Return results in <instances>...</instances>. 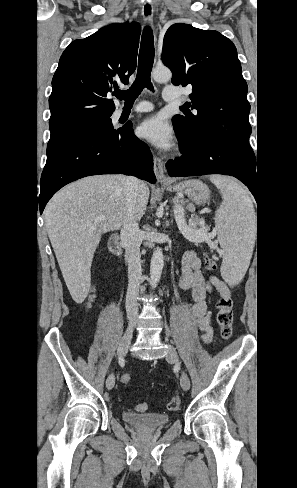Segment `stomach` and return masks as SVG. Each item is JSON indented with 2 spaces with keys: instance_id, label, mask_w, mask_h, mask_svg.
Listing matches in <instances>:
<instances>
[{
  "instance_id": "stomach-1",
  "label": "stomach",
  "mask_w": 297,
  "mask_h": 488,
  "mask_svg": "<svg viewBox=\"0 0 297 488\" xmlns=\"http://www.w3.org/2000/svg\"><path fill=\"white\" fill-rule=\"evenodd\" d=\"M170 192H176L178 196L186 197L197 205L205 204L210 198V190L205 183L197 179H189L178 184L166 185Z\"/></svg>"
}]
</instances>
